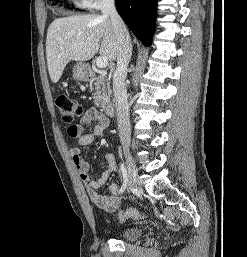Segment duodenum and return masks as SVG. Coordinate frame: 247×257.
I'll use <instances>...</instances> for the list:
<instances>
[{"label": "duodenum", "mask_w": 247, "mask_h": 257, "mask_svg": "<svg viewBox=\"0 0 247 257\" xmlns=\"http://www.w3.org/2000/svg\"><path fill=\"white\" fill-rule=\"evenodd\" d=\"M88 77H89V79H92L93 74L89 73ZM103 111L107 116H112L114 114V111H115L114 104L112 102H106L103 105Z\"/></svg>", "instance_id": "duodenum-1"}]
</instances>
